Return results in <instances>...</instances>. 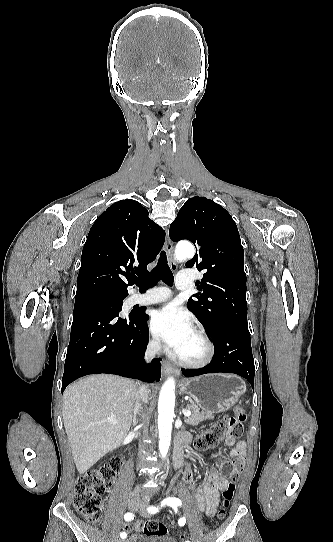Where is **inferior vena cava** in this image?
<instances>
[{"instance_id": "obj_1", "label": "inferior vena cava", "mask_w": 333, "mask_h": 542, "mask_svg": "<svg viewBox=\"0 0 333 542\" xmlns=\"http://www.w3.org/2000/svg\"><path fill=\"white\" fill-rule=\"evenodd\" d=\"M159 348H161V342L160 340H154L151 348H149L146 356H145V360L146 362H151L152 358H154L155 354H157ZM137 398H139V400H142V402H145V404H147L148 402V390L146 388V386H141V388H139V392H137ZM137 424V422H136ZM142 452H144V446H141L140 448V452L138 454L139 456V460H142V458H144Z\"/></svg>"}]
</instances>
